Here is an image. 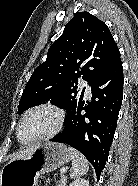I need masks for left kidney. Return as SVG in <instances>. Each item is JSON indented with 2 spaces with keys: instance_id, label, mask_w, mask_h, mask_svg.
<instances>
[{
  "instance_id": "obj_1",
  "label": "left kidney",
  "mask_w": 138,
  "mask_h": 186,
  "mask_svg": "<svg viewBox=\"0 0 138 186\" xmlns=\"http://www.w3.org/2000/svg\"><path fill=\"white\" fill-rule=\"evenodd\" d=\"M69 186H89V181L86 179H77L70 183Z\"/></svg>"
}]
</instances>
